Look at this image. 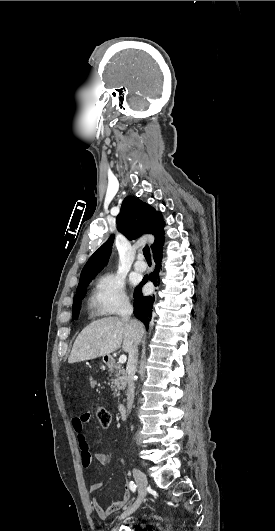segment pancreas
<instances>
[{"instance_id":"pancreas-1","label":"pancreas","mask_w":275,"mask_h":531,"mask_svg":"<svg viewBox=\"0 0 275 531\" xmlns=\"http://www.w3.org/2000/svg\"><path fill=\"white\" fill-rule=\"evenodd\" d=\"M110 373H113L111 381V389L114 391L113 395L114 397H120V391L126 387L128 383V377L126 375V371L122 365H117L115 361L111 363V365H108Z\"/></svg>"}]
</instances>
